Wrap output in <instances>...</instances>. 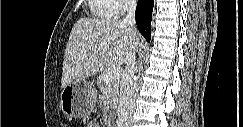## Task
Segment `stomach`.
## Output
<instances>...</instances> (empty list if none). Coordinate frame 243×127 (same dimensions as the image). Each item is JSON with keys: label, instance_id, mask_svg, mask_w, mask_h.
<instances>
[{"label": "stomach", "instance_id": "stomach-1", "mask_svg": "<svg viewBox=\"0 0 243 127\" xmlns=\"http://www.w3.org/2000/svg\"><path fill=\"white\" fill-rule=\"evenodd\" d=\"M97 100L95 86L88 81L73 82L62 89L60 105L63 112L73 118L90 115Z\"/></svg>", "mask_w": 243, "mask_h": 127}]
</instances>
